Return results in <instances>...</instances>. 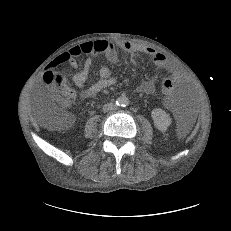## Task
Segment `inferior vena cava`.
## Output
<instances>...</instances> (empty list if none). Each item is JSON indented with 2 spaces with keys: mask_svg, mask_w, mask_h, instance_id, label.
<instances>
[{
  "mask_svg": "<svg viewBox=\"0 0 231 231\" xmlns=\"http://www.w3.org/2000/svg\"><path fill=\"white\" fill-rule=\"evenodd\" d=\"M116 109V105L114 103H107L104 105L103 110L104 111H112Z\"/></svg>",
  "mask_w": 231,
  "mask_h": 231,
  "instance_id": "1",
  "label": "inferior vena cava"
}]
</instances>
